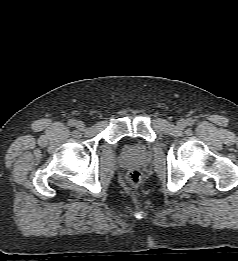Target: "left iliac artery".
<instances>
[{"instance_id": "obj_1", "label": "left iliac artery", "mask_w": 238, "mask_h": 261, "mask_svg": "<svg viewBox=\"0 0 238 261\" xmlns=\"http://www.w3.org/2000/svg\"><path fill=\"white\" fill-rule=\"evenodd\" d=\"M187 124H188L189 126L193 125V124H194V120L191 119V118H188V119H187Z\"/></svg>"}]
</instances>
